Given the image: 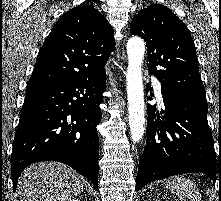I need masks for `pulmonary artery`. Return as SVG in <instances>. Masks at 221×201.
Wrapping results in <instances>:
<instances>
[{
	"mask_svg": "<svg viewBox=\"0 0 221 201\" xmlns=\"http://www.w3.org/2000/svg\"><path fill=\"white\" fill-rule=\"evenodd\" d=\"M154 87H155V91H156V94H157L158 98L162 99L161 84L157 79H154Z\"/></svg>",
	"mask_w": 221,
	"mask_h": 201,
	"instance_id": "obj_1",
	"label": "pulmonary artery"
}]
</instances>
